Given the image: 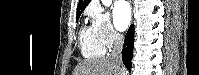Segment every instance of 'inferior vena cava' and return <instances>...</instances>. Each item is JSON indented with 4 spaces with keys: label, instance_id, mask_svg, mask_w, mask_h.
Listing matches in <instances>:
<instances>
[{
    "label": "inferior vena cava",
    "instance_id": "602c4592",
    "mask_svg": "<svg viewBox=\"0 0 199 75\" xmlns=\"http://www.w3.org/2000/svg\"><path fill=\"white\" fill-rule=\"evenodd\" d=\"M113 37H114V46H113V51L111 53V57L119 65V72H120L119 74L124 75V68L121 67V64H122L121 52H122L123 41H124L123 35L118 32H114Z\"/></svg>",
    "mask_w": 199,
    "mask_h": 75
}]
</instances>
